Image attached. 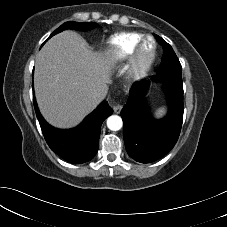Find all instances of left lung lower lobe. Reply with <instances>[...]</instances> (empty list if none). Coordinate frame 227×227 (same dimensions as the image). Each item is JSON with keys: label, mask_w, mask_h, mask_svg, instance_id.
I'll return each instance as SVG.
<instances>
[{"label": "left lung lower lobe", "mask_w": 227, "mask_h": 227, "mask_svg": "<svg viewBox=\"0 0 227 227\" xmlns=\"http://www.w3.org/2000/svg\"><path fill=\"white\" fill-rule=\"evenodd\" d=\"M151 80L164 84L167 116L157 120L150 114L145 100L149 80L131 87L127 104L121 111L127 153L140 163H150L165 156L176 144L183 122L182 75L157 72Z\"/></svg>", "instance_id": "obj_1"}]
</instances>
